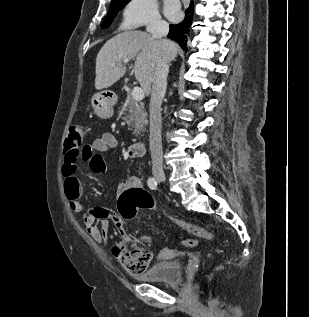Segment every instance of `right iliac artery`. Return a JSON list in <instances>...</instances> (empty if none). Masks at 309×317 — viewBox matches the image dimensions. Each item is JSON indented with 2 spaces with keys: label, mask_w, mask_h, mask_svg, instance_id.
<instances>
[{
  "label": "right iliac artery",
  "mask_w": 309,
  "mask_h": 317,
  "mask_svg": "<svg viewBox=\"0 0 309 317\" xmlns=\"http://www.w3.org/2000/svg\"><path fill=\"white\" fill-rule=\"evenodd\" d=\"M147 184H148L150 189H152V190L157 189V182H156L154 177H149V179L147 180Z\"/></svg>",
  "instance_id": "right-iliac-artery-1"
}]
</instances>
